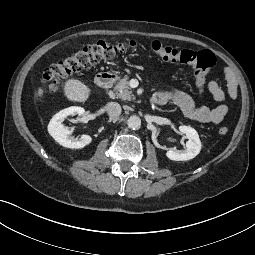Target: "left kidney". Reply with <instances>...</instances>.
I'll use <instances>...</instances> for the list:
<instances>
[{
  "instance_id": "5707ae66",
  "label": "left kidney",
  "mask_w": 255,
  "mask_h": 255,
  "mask_svg": "<svg viewBox=\"0 0 255 255\" xmlns=\"http://www.w3.org/2000/svg\"><path fill=\"white\" fill-rule=\"evenodd\" d=\"M179 131L188 139L186 149H169L166 156L173 161H187L195 158L201 151V141L197 131L190 126H180Z\"/></svg>"
}]
</instances>
